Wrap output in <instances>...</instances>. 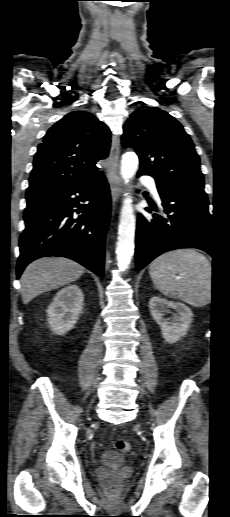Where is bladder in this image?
I'll use <instances>...</instances> for the list:
<instances>
[{
    "instance_id": "1",
    "label": "bladder",
    "mask_w": 230,
    "mask_h": 517,
    "mask_svg": "<svg viewBox=\"0 0 230 517\" xmlns=\"http://www.w3.org/2000/svg\"><path fill=\"white\" fill-rule=\"evenodd\" d=\"M100 463L107 466H121L127 461V457L121 453L106 450L100 454Z\"/></svg>"
}]
</instances>
